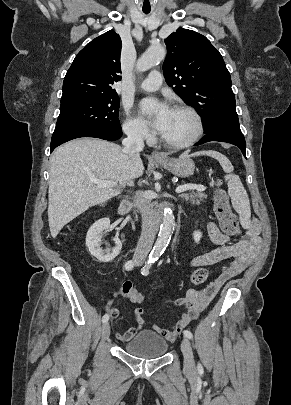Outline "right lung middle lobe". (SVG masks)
<instances>
[{
  "instance_id": "right-lung-middle-lobe-1",
  "label": "right lung middle lobe",
  "mask_w": 291,
  "mask_h": 405,
  "mask_svg": "<svg viewBox=\"0 0 291 405\" xmlns=\"http://www.w3.org/2000/svg\"><path fill=\"white\" fill-rule=\"evenodd\" d=\"M119 105L118 96L62 101L51 144L82 133L120 132Z\"/></svg>"
}]
</instances>
